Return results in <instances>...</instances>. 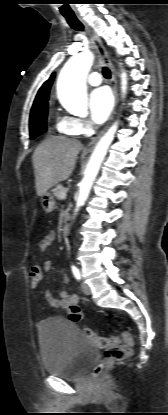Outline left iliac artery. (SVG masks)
Returning a JSON list of instances; mask_svg holds the SVG:
<instances>
[{
  "label": "left iliac artery",
  "mask_w": 168,
  "mask_h": 415,
  "mask_svg": "<svg viewBox=\"0 0 168 415\" xmlns=\"http://www.w3.org/2000/svg\"><path fill=\"white\" fill-rule=\"evenodd\" d=\"M72 271H73L74 277H75L77 280H80V279H81V275H80V271H79V269H78L77 267L73 266V267H72Z\"/></svg>",
  "instance_id": "obj_1"
}]
</instances>
